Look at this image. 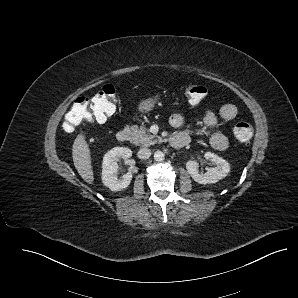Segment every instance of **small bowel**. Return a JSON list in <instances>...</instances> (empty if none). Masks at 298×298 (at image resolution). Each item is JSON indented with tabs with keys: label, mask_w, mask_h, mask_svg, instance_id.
Returning <instances> with one entry per match:
<instances>
[{
	"label": "small bowel",
	"mask_w": 298,
	"mask_h": 298,
	"mask_svg": "<svg viewBox=\"0 0 298 298\" xmlns=\"http://www.w3.org/2000/svg\"><path fill=\"white\" fill-rule=\"evenodd\" d=\"M237 115V108L233 104L223 105L218 113L207 109L204 113V125L207 129L212 130L217 127L219 120L231 121ZM184 119L181 114L173 113L169 118V124L173 128H180L183 125ZM211 146L219 151L225 150L229 146L228 137L222 132H213L210 136Z\"/></svg>",
	"instance_id": "small-bowel-1"
}]
</instances>
